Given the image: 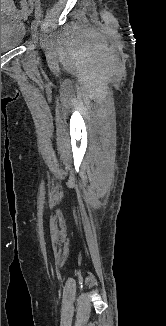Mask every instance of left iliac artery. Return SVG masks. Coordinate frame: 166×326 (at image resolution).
<instances>
[{
    "mask_svg": "<svg viewBox=\"0 0 166 326\" xmlns=\"http://www.w3.org/2000/svg\"><path fill=\"white\" fill-rule=\"evenodd\" d=\"M40 16H41L40 12L36 11L35 18H36L37 24H39V22H40Z\"/></svg>",
    "mask_w": 166,
    "mask_h": 326,
    "instance_id": "obj_1",
    "label": "left iliac artery"
}]
</instances>
